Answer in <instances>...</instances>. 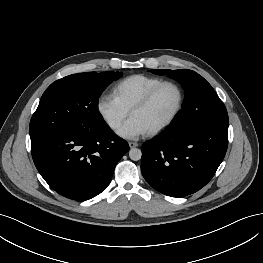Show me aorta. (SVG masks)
<instances>
[{
	"label": "aorta",
	"instance_id": "762f6f07",
	"mask_svg": "<svg viewBox=\"0 0 263 263\" xmlns=\"http://www.w3.org/2000/svg\"><path fill=\"white\" fill-rule=\"evenodd\" d=\"M141 156H142V152L140 149L138 148H131L129 150V157L131 160L133 161H138L141 159Z\"/></svg>",
	"mask_w": 263,
	"mask_h": 263
}]
</instances>
